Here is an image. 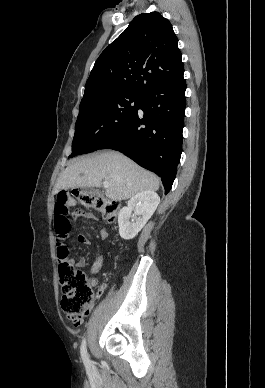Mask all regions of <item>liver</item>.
I'll use <instances>...</instances> for the list:
<instances>
[{
    "instance_id": "obj_1",
    "label": "liver",
    "mask_w": 265,
    "mask_h": 388,
    "mask_svg": "<svg viewBox=\"0 0 265 388\" xmlns=\"http://www.w3.org/2000/svg\"><path fill=\"white\" fill-rule=\"evenodd\" d=\"M102 180L109 182L105 196L115 202L128 200L145 190H159V180L155 174L146 172L119 152H104L92 158H75L58 178L55 190L101 188Z\"/></svg>"
}]
</instances>
